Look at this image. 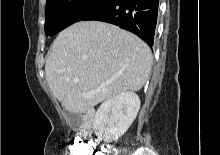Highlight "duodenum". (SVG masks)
Returning a JSON list of instances; mask_svg holds the SVG:
<instances>
[{
  "mask_svg": "<svg viewBox=\"0 0 220 155\" xmlns=\"http://www.w3.org/2000/svg\"><path fill=\"white\" fill-rule=\"evenodd\" d=\"M94 111L88 109L81 114V135L86 137L91 133Z\"/></svg>",
  "mask_w": 220,
  "mask_h": 155,
  "instance_id": "1",
  "label": "duodenum"
}]
</instances>
